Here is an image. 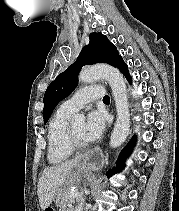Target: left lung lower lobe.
I'll use <instances>...</instances> for the list:
<instances>
[{
    "mask_svg": "<svg viewBox=\"0 0 179 211\" xmlns=\"http://www.w3.org/2000/svg\"><path fill=\"white\" fill-rule=\"evenodd\" d=\"M116 67L125 75V77L127 78V80L129 82H131V77L129 75L128 72V68L127 65L124 63L123 60H121ZM136 142V137L134 136L130 142L126 145V147L122 150V152L119 155L118 161H117V166L113 169H111L108 173L107 176L110 177L111 175H113L114 173L119 172L120 170L123 169V167L125 166L124 162L125 159L130 155L131 151H132V147L135 145Z\"/></svg>",
    "mask_w": 179,
    "mask_h": 211,
    "instance_id": "1",
    "label": "left lung lower lobe"
}]
</instances>
